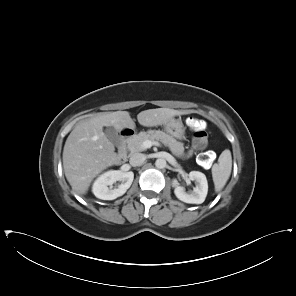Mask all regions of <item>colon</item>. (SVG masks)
Returning <instances> with one entry per match:
<instances>
[{"mask_svg":"<svg viewBox=\"0 0 296 296\" xmlns=\"http://www.w3.org/2000/svg\"><path fill=\"white\" fill-rule=\"evenodd\" d=\"M189 127L193 130V147L195 149H204L208 143V134L204 122L192 119L188 121ZM211 153H203L199 156L201 163H207L210 160Z\"/></svg>","mask_w":296,"mask_h":296,"instance_id":"5ec220e1","label":"colon"}]
</instances>
